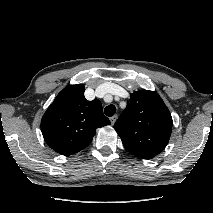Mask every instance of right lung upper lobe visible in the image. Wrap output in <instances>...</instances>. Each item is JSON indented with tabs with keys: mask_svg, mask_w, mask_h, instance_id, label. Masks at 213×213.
Listing matches in <instances>:
<instances>
[{
	"mask_svg": "<svg viewBox=\"0 0 213 213\" xmlns=\"http://www.w3.org/2000/svg\"><path fill=\"white\" fill-rule=\"evenodd\" d=\"M98 99L88 101L82 84L64 88L41 121L45 142L57 153L69 156L86 148L96 129L109 125Z\"/></svg>",
	"mask_w": 213,
	"mask_h": 213,
	"instance_id": "cb5924a9",
	"label": "right lung upper lobe"
}]
</instances>
